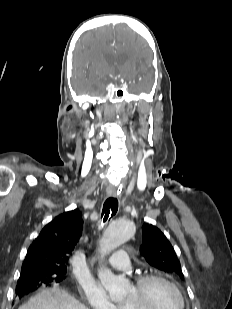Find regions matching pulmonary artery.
<instances>
[{"mask_svg":"<svg viewBox=\"0 0 232 309\" xmlns=\"http://www.w3.org/2000/svg\"><path fill=\"white\" fill-rule=\"evenodd\" d=\"M112 268L127 271L131 268L129 252L127 250L117 251L107 262Z\"/></svg>","mask_w":232,"mask_h":309,"instance_id":"1","label":"pulmonary artery"}]
</instances>
